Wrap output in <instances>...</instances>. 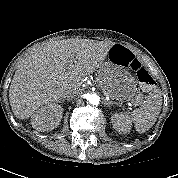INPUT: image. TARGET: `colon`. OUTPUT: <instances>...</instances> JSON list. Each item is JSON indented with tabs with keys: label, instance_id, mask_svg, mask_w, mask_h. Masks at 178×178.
Segmentation results:
<instances>
[{
	"label": "colon",
	"instance_id": "5ec220e1",
	"mask_svg": "<svg viewBox=\"0 0 178 178\" xmlns=\"http://www.w3.org/2000/svg\"><path fill=\"white\" fill-rule=\"evenodd\" d=\"M131 67L135 70L137 74L138 81L145 91H149L152 89L154 80L151 75L141 67L140 63L137 60H131Z\"/></svg>",
	"mask_w": 178,
	"mask_h": 178
}]
</instances>
